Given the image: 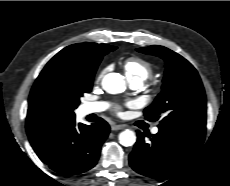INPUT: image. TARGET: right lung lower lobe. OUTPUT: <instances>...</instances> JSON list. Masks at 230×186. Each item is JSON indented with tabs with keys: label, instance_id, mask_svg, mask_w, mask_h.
<instances>
[{
	"label": "right lung lower lobe",
	"instance_id": "right-lung-lower-lobe-1",
	"mask_svg": "<svg viewBox=\"0 0 230 186\" xmlns=\"http://www.w3.org/2000/svg\"><path fill=\"white\" fill-rule=\"evenodd\" d=\"M109 131L102 118L92 125L78 126L74 118L29 136V141L40 160L52 170L65 175L80 174L96 165Z\"/></svg>",
	"mask_w": 230,
	"mask_h": 186
}]
</instances>
